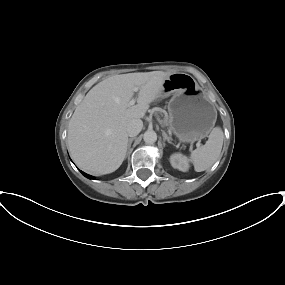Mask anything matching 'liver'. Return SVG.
<instances>
[{
  "mask_svg": "<svg viewBox=\"0 0 285 285\" xmlns=\"http://www.w3.org/2000/svg\"><path fill=\"white\" fill-rule=\"evenodd\" d=\"M174 72L152 71L114 75L95 85L76 107L68 126V146L76 165L85 172L112 173L122 164L127 125L143 118ZM139 88L137 104L129 106Z\"/></svg>",
  "mask_w": 285,
  "mask_h": 285,
  "instance_id": "1",
  "label": "liver"
}]
</instances>
